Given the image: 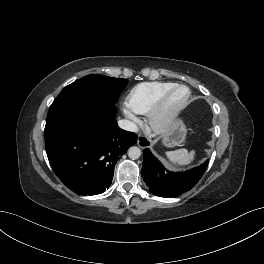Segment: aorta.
Wrapping results in <instances>:
<instances>
[{
	"instance_id": "1",
	"label": "aorta",
	"mask_w": 264,
	"mask_h": 264,
	"mask_svg": "<svg viewBox=\"0 0 264 264\" xmlns=\"http://www.w3.org/2000/svg\"><path fill=\"white\" fill-rule=\"evenodd\" d=\"M128 156L131 159H138L141 156L140 148L136 146L130 147L128 150Z\"/></svg>"
}]
</instances>
